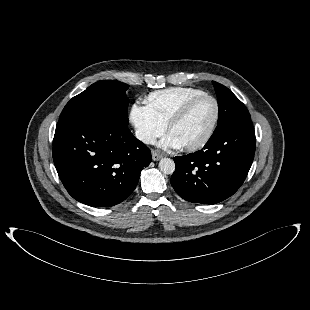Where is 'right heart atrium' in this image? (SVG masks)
<instances>
[{"instance_id": "obj_1", "label": "right heart atrium", "mask_w": 310, "mask_h": 310, "mask_svg": "<svg viewBox=\"0 0 310 310\" xmlns=\"http://www.w3.org/2000/svg\"><path fill=\"white\" fill-rule=\"evenodd\" d=\"M135 136L144 144H152L166 130V124L158 120L146 105L135 103L129 113Z\"/></svg>"}]
</instances>
